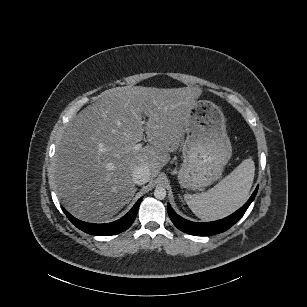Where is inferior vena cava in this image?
<instances>
[{
	"label": "inferior vena cava",
	"mask_w": 307,
	"mask_h": 307,
	"mask_svg": "<svg viewBox=\"0 0 307 307\" xmlns=\"http://www.w3.org/2000/svg\"><path fill=\"white\" fill-rule=\"evenodd\" d=\"M151 173L147 165L141 164L137 166L132 174V179L135 184L143 185L150 179Z\"/></svg>",
	"instance_id": "602c4592"
}]
</instances>
